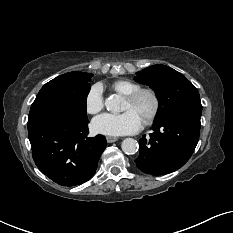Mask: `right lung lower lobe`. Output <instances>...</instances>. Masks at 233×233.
<instances>
[{"mask_svg":"<svg viewBox=\"0 0 233 233\" xmlns=\"http://www.w3.org/2000/svg\"><path fill=\"white\" fill-rule=\"evenodd\" d=\"M88 119L64 110H42L28 118L32 156L39 170L62 186L88 181L106 147L102 135L88 137Z\"/></svg>","mask_w":233,"mask_h":233,"instance_id":"98d812e1","label":"right lung lower lobe"}]
</instances>
